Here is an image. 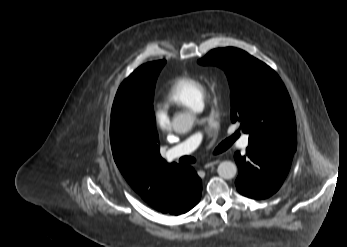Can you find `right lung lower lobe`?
I'll use <instances>...</instances> for the list:
<instances>
[{
	"label": "right lung lower lobe",
	"instance_id": "right-lung-lower-lobe-1",
	"mask_svg": "<svg viewBox=\"0 0 347 247\" xmlns=\"http://www.w3.org/2000/svg\"><path fill=\"white\" fill-rule=\"evenodd\" d=\"M182 171L186 174L183 194L175 206L165 214H184L196 206L200 201L202 193L201 179L190 166H183Z\"/></svg>",
	"mask_w": 347,
	"mask_h": 247
}]
</instances>
